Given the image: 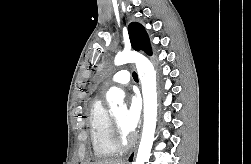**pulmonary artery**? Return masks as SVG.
<instances>
[{"mask_svg":"<svg viewBox=\"0 0 251 164\" xmlns=\"http://www.w3.org/2000/svg\"><path fill=\"white\" fill-rule=\"evenodd\" d=\"M131 80V74L128 70H120L117 73L114 74V76L111 79V83L113 84H119L124 85L129 83Z\"/></svg>","mask_w":251,"mask_h":164,"instance_id":"1","label":"pulmonary artery"}]
</instances>
